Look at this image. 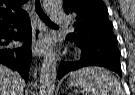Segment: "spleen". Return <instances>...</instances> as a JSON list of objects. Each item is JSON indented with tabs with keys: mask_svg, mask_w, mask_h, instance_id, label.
<instances>
[{
	"mask_svg": "<svg viewBox=\"0 0 135 95\" xmlns=\"http://www.w3.org/2000/svg\"><path fill=\"white\" fill-rule=\"evenodd\" d=\"M86 95H124L112 73L101 67H86L70 73Z\"/></svg>",
	"mask_w": 135,
	"mask_h": 95,
	"instance_id": "spleen-1",
	"label": "spleen"
}]
</instances>
